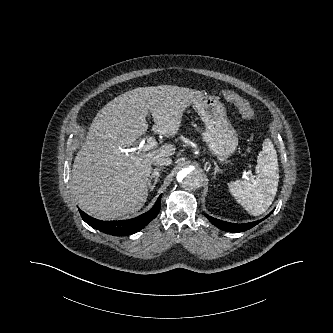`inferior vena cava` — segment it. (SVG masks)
<instances>
[{"instance_id":"obj_1","label":"inferior vena cava","mask_w":333,"mask_h":333,"mask_svg":"<svg viewBox=\"0 0 333 333\" xmlns=\"http://www.w3.org/2000/svg\"><path fill=\"white\" fill-rule=\"evenodd\" d=\"M152 163L155 166H167L172 163V159L170 156L167 155H156L155 157H153Z\"/></svg>"}]
</instances>
